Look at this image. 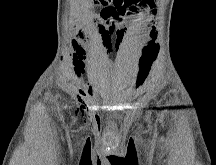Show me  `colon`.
I'll return each instance as SVG.
<instances>
[{"label":"colon","instance_id":"colon-1","mask_svg":"<svg viewBox=\"0 0 216 165\" xmlns=\"http://www.w3.org/2000/svg\"><path fill=\"white\" fill-rule=\"evenodd\" d=\"M98 4L105 6V9L110 8V5L117 8H123L127 6L131 0H96ZM149 66L148 60H143V68L146 70Z\"/></svg>","mask_w":216,"mask_h":165}]
</instances>
